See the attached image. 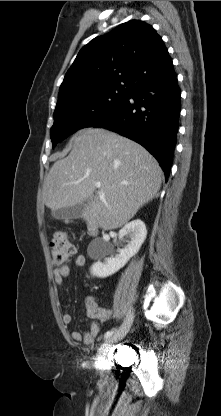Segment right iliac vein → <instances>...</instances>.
Here are the masks:
<instances>
[{
  "label": "right iliac vein",
  "instance_id": "1",
  "mask_svg": "<svg viewBox=\"0 0 221 416\" xmlns=\"http://www.w3.org/2000/svg\"><path fill=\"white\" fill-rule=\"evenodd\" d=\"M133 318H134V313H133V311H130L128 313L126 319L124 320L123 324L119 328V330L111 338H109L108 340H106L102 344V346L100 348V351H99V354H98L99 359L102 358L105 355V353L108 351V348H110V346L113 343H116V342L122 340L125 337V335L128 333V331L131 327V324L133 322Z\"/></svg>",
  "mask_w": 221,
  "mask_h": 416
}]
</instances>
